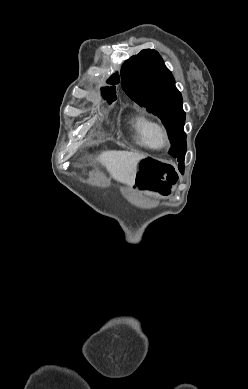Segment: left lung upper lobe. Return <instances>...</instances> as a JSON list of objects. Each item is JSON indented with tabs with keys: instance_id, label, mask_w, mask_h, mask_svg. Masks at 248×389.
<instances>
[{
	"instance_id": "1",
	"label": "left lung upper lobe",
	"mask_w": 248,
	"mask_h": 389,
	"mask_svg": "<svg viewBox=\"0 0 248 389\" xmlns=\"http://www.w3.org/2000/svg\"><path fill=\"white\" fill-rule=\"evenodd\" d=\"M121 85L132 100L162 120L171 143L169 153L183 162L186 134L182 96L159 53L146 49L128 59L122 66Z\"/></svg>"
}]
</instances>
